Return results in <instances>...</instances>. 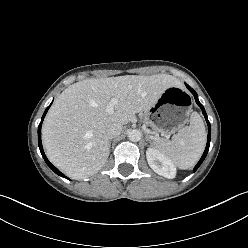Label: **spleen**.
<instances>
[{
	"mask_svg": "<svg viewBox=\"0 0 248 248\" xmlns=\"http://www.w3.org/2000/svg\"><path fill=\"white\" fill-rule=\"evenodd\" d=\"M156 149L161 151L180 169H190L199 160L206 144V131L197 112L190 116V125L185 126L171 140H155Z\"/></svg>",
	"mask_w": 248,
	"mask_h": 248,
	"instance_id": "spleen-1",
	"label": "spleen"
}]
</instances>
